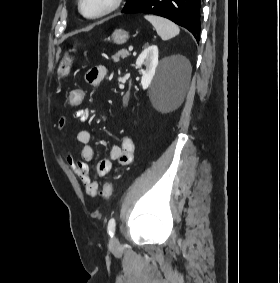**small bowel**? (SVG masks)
Listing matches in <instances>:
<instances>
[{"instance_id":"1","label":"small bowel","mask_w":280,"mask_h":283,"mask_svg":"<svg viewBox=\"0 0 280 283\" xmlns=\"http://www.w3.org/2000/svg\"><path fill=\"white\" fill-rule=\"evenodd\" d=\"M107 74L104 67H97L88 72L87 82L93 87H99ZM73 90V89H72ZM88 109H77L74 113V118L77 121H85L89 118ZM69 122L68 117H62L59 121V128H64ZM77 140L83 145L81 151V159H77L72 155L66 156V163L73 170V172L81 180L84 190L87 195L94 197L98 193V183L91 178L87 162L92 160L95 156L93 147L90 145L91 135L87 130H80L77 132ZM135 146L129 137H124L120 145H114L109 153L108 158L98 161L96 165V172L99 176L104 177L111 175L115 169L113 164L117 162L120 166L128 165L134 158Z\"/></svg>"}]
</instances>
